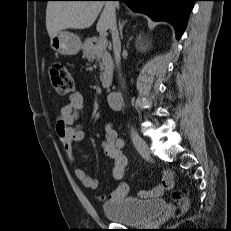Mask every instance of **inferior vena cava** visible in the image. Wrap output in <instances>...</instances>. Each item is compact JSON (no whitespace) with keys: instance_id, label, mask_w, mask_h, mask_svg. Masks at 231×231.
I'll return each instance as SVG.
<instances>
[{"instance_id":"obj_1","label":"inferior vena cava","mask_w":231,"mask_h":231,"mask_svg":"<svg viewBox=\"0 0 231 231\" xmlns=\"http://www.w3.org/2000/svg\"><path fill=\"white\" fill-rule=\"evenodd\" d=\"M112 3H113V5L115 7H118V5H119L117 1H114ZM110 30H111L112 41H113L114 59H115L116 66L119 69V67H120V61H121V56H120V53H121V42H120V39H119L118 30H117L116 17H114L113 20H112Z\"/></svg>"}]
</instances>
